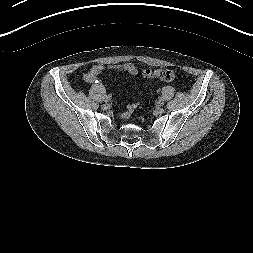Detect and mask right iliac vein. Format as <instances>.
<instances>
[{"label": "right iliac vein", "mask_w": 253, "mask_h": 253, "mask_svg": "<svg viewBox=\"0 0 253 253\" xmlns=\"http://www.w3.org/2000/svg\"><path fill=\"white\" fill-rule=\"evenodd\" d=\"M105 102L108 103V102H109V99L106 98Z\"/></svg>", "instance_id": "obj_1"}]
</instances>
